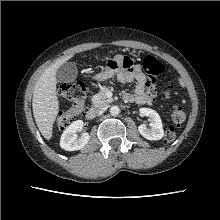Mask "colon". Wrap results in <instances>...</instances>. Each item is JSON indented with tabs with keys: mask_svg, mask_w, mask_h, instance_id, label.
<instances>
[{
	"mask_svg": "<svg viewBox=\"0 0 220 220\" xmlns=\"http://www.w3.org/2000/svg\"><path fill=\"white\" fill-rule=\"evenodd\" d=\"M120 65L127 69L132 66V61L128 57H123L119 59ZM143 71L150 77L151 84L154 83L157 76L163 72V64L153 56H147L142 62ZM171 88H168L165 92V96L170 95ZM59 94L62 98L69 102V109L60 112L57 118V124L60 128H65L73 121L80 118L87 109L86 100V88L83 82H68L63 83L59 87ZM170 120L175 124H180L185 119V113L179 107H172L169 111ZM176 137L173 128H169L165 133V142L170 143L174 141Z\"/></svg>",
	"mask_w": 220,
	"mask_h": 220,
	"instance_id": "obj_1",
	"label": "colon"
}]
</instances>
